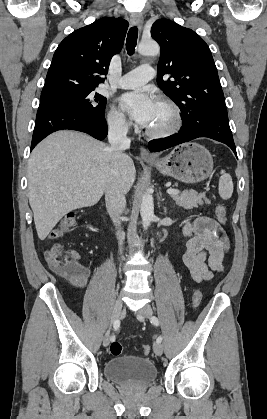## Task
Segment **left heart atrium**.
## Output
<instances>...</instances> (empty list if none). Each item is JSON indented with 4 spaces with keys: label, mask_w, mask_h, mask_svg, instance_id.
<instances>
[{
    "label": "left heart atrium",
    "mask_w": 267,
    "mask_h": 419,
    "mask_svg": "<svg viewBox=\"0 0 267 419\" xmlns=\"http://www.w3.org/2000/svg\"><path fill=\"white\" fill-rule=\"evenodd\" d=\"M121 107L140 125L147 126L157 101L149 93L128 92L120 97Z\"/></svg>",
    "instance_id": "39dd6f15"
}]
</instances>
